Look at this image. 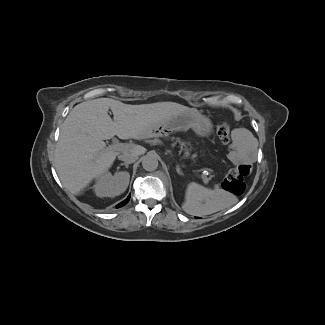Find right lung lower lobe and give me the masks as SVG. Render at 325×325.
Instances as JSON below:
<instances>
[{
    "instance_id": "98d812e1",
    "label": "right lung lower lobe",
    "mask_w": 325,
    "mask_h": 325,
    "mask_svg": "<svg viewBox=\"0 0 325 325\" xmlns=\"http://www.w3.org/2000/svg\"><path fill=\"white\" fill-rule=\"evenodd\" d=\"M129 199H130V195L124 201H122L121 203H119L117 205V208H120V207L124 206L125 204H127L128 201H129Z\"/></svg>"
}]
</instances>
